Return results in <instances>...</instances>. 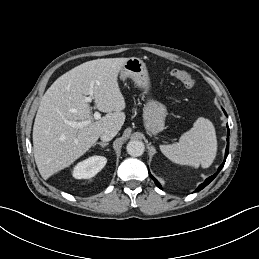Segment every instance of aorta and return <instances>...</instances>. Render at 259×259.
<instances>
[{"label": "aorta", "instance_id": "762f6f07", "mask_svg": "<svg viewBox=\"0 0 259 259\" xmlns=\"http://www.w3.org/2000/svg\"><path fill=\"white\" fill-rule=\"evenodd\" d=\"M126 149H127V153L130 156L138 157L144 153L145 148H144V144L141 141L134 140V141H130L127 144Z\"/></svg>", "mask_w": 259, "mask_h": 259}]
</instances>
